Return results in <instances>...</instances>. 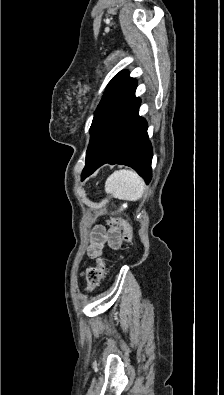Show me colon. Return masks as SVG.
I'll list each match as a JSON object with an SVG mask.
<instances>
[{
	"instance_id": "1",
	"label": "colon",
	"mask_w": 224,
	"mask_h": 395,
	"mask_svg": "<svg viewBox=\"0 0 224 395\" xmlns=\"http://www.w3.org/2000/svg\"><path fill=\"white\" fill-rule=\"evenodd\" d=\"M113 224L121 227L123 229L122 240L128 243L132 239L131 228L128 223L123 219H114ZM108 265L107 257H98L94 265L90 266L86 270V291H94L100 284V281L104 277L106 268Z\"/></svg>"
}]
</instances>
